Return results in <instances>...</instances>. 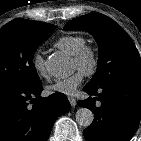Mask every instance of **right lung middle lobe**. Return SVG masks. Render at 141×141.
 <instances>
[{"mask_svg":"<svg viewBox=\"0 0 141 141\" xmlns=\"http://www.w3.org/2000/svg\"><path fill=\"white\" fill-rule=\"evenodd\" d=\"M53 33V25L16 19L0 29V85L29 86L40 79L33 64L37 47Z\"/></svg>","mask_w":141,"mask_h":141,"instance_id":"right-lung-middle-lobe-1","label":"right lung middle lobe"}]
</instances>
